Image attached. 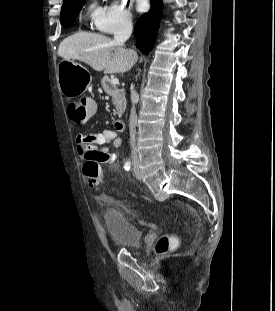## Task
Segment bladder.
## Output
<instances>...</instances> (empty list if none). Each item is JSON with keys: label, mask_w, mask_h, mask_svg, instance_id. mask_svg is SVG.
I'll return each instance as SVG.
<instances>
[{"label": "bladder", "mask_w": 275, "mask_h": 311, "mask_svg": "<svg viewBox=\"0 0 275 311\" xmlns=\"http://www.w3.org/2000/svg\"><path fill=\"white\" fill-rule=\"evenodd\" d=\"M105 229L119 248H137L142 244V232L120 211L105 208L102 213Z\"/></svg>", "instance_id": "1"}]
</instances>
